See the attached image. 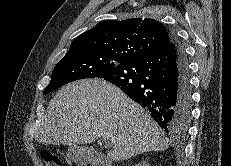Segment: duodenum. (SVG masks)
<instances>
[{
	"label": "duodenum",
	"mask_w": 231,
	"mask_h": 166,
	"mask_svg": "<svg viewBox=\"0 0 231 166\" xmlns=\"http://www.w3.org/2000/svg\"><path fill=\"white\" fill-rule=\"evenodd\" d=\"M78 158L84 162L91 164L92 166H109L103 155L92 150L79 152Z\"/></svg>",
	"instance_id": "410a0bca"
}]
</instances>
